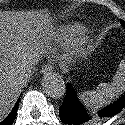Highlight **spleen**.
Wrapping results in <instances>:
<instances>
[{
	"instance_id": "spleen-1",
	"label": "spleen",
	"mask_w": 125,
	"mask_h": 125,
	"mask_svg": "<svg viewBox=\"0 0 125 125\" xmlns=\"http://www.w3.org/2000/svg\"><path fill=\"white\" fill-rule=\"evenodd\" d=\"M125 91V62H120L118 70L111 83H101L96 90L84 91L79 94L81 101L91 109L110 104V102L119 97Z\"/></svg>"
}]
</instances>
